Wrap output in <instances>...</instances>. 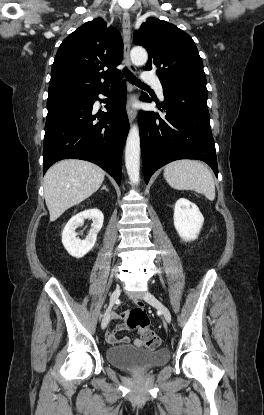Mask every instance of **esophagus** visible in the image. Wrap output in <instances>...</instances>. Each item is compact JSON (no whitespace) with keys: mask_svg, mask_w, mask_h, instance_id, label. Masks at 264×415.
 <instances>
[{"mask_svg":"<svg viewBox=\"0 0 264 415\" xmlns=\"http://www.w3.org/2000/svg\"><path fill=\"white\" fill-rule=\"evenodd\" d=\"M122 32H123V42H124V57L127 63L128 69L136 73V67L132 64L130 60V47H131V23H130V15L128 12L123 14V21H122ZM127 115L130 122L136 117V110L133 108L131 104V99L128 101L127 104Z\"/></svg>","mask_w":264,"mask_h":415,"instance_id":"obj_1","label":"esophagus"}]
</instances>
